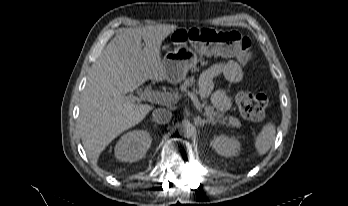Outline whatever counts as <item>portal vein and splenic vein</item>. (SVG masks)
<instances>
[{
	"instance_id": "portal-vein-and-splenic-vein-1",
	"label": "portal vein and splenic vein",
	"mask_w": 348,
	"mask_h": 206,
	"mask_svg": "<svg viewBox=\"0 0 348 206\" xmlns=\"http://www.w3.org/2000/svg\"><path fill=\"white\" fill-rule=\"evenodd\" d=\"M187 95L193 101L196 109L199 112H202V105H201L200 101L198 100V97L196 96V94H194L193 92L188 91ZM140 98L141 99H147L149 101L158 102V103L171 104V103H176L180 99V96L178 94H175V93L153 92L150 89H147V90H145L142 93ZM131 99L132 100H136L138 98L137 97H133Z\"/></svg>"
}]
</instances>
